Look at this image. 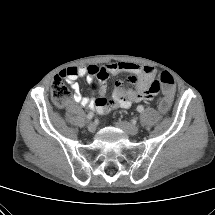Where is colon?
<instances>
[{
	"mask_svg": "<svg viewBox=\"0 0 215 215\" xmlns=\"http://www.w3.org/2000/svg\"><path fill=\"white\" fill-rule=\"evenodd\" d=\"M160 87H162L165 96L159 103V110L162 113H166L171 108L174 92V79L170 73H160L158 75V80L153 82L151 88L148 90V93H156ZM51 95L53 102L58 107L64 106L69 98L70 92L60 75L56 76L52 81Z\"/></svg>",
	"mask_w": 215,
	"mask_h": 215,
	"instance_id": "obj_1",
	"label": "colon"
}]
</instances>
